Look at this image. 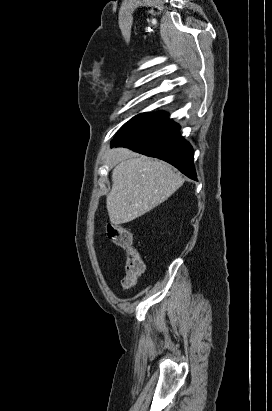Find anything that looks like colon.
Returning a JSON list of instances; mask_svg holds the SVG:
<instances>
[{"mask_svg": "<svg viewBox=\"0 0 272 411\" xmlns=\"http://www.w3.org/2000/svg\"><path fill=\"white\" fill-rule=\"evenodd\" d=\"M106 233L115 245L125 249L127 252L122 286L124 289H131L137 284L138 279L145 270L144 260L134 246L133 233L130 229L120 224H108Z\"/></svg>", "mask_w": 272, "mask_h": 411, "instance_id": "obj_1", "label": "colon"}]
</instances>
